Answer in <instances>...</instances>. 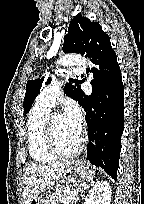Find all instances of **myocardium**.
I'll use <instances>...</instances> for the list:
<instances>
[{
    "mask_svg": "<svg viewBox=\"0 0 144 204\" xmlns=\"http://www.w3.org/2000/svg\"><path fill=\"white\" fill-rule=\"evenodd\" d=\"M56 115H51L47 118L46 125H45V136H46V143L51 151L58 158H70L76 156L82 149V139L79 137L75 147L70 151L62 150L56 140L54 129H53V119Z\"/></svg>",
    "mask_w": 144,
    "mask_h": 204,
    "instance_id": "1",
    "label": "myocardium"
}]
</instances>
